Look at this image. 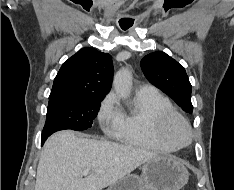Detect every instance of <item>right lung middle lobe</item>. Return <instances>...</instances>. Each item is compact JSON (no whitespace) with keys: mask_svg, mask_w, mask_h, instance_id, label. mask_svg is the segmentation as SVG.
<instances>
[{"mask_svg":"<svg viewBox=\"0 0 234 190\" xmlns=\"http://www.w3.org/2000/svg\"><path fill=\"white\" fill-rule=\"evenodd\" d=\"M102 100L101 97L51 91L42 138H48L59 130L82 131L90 128Z\"/></svg>","mask_w":234,"mask_h":190,"instance_id":"obj_1","label":"right lung middle lobe"}]
</instances>
